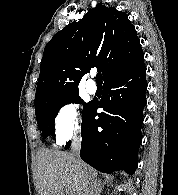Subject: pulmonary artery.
<instances>
[{
  "instance_id": "obj_1",
  "label": "pulmonary artery",
  "mask_w": 178,
  "mask_h": 195,
  "mask_svg": "<svg viewBox=\"0 0 178 195\" xmlns=\"http://www.w3.org/2000/svg\"><path fill=\"white\" fill-rule=\"evenodd\" d=\"M86 90L89 94H95L97 91V86L94 81V75H91V77L86 82Z\"/></svg>"
}]
</instances>
